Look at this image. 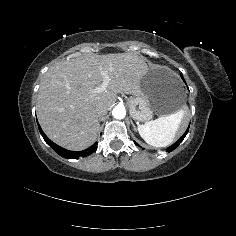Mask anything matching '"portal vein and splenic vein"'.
I'll list each match as a JSON object with an SVG mask.
<instances>
[{
	"label": "portal vein and splenic vein",
	"instance_id": "18ae733b",
	"mask_svg": "<svg viewBox=\"0 0 236 236\" xmlns=\"http://www.w3.org/2000/svg\"><path fill=\"white\" fill-rule=\"evenodd\" d=\"M101 75L103 77V82H102V84L99 87H95L93 89L94 93H101V92L106 91V89H107V87L109 85L110 78L108 76V72L107 71H102Z\"/></svg>",
	"mask_w": 236,
	"mask_h": 236
}]
</instances>
